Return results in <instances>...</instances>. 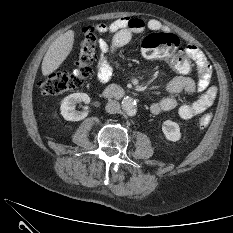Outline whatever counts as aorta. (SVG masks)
<instances>
[{
	"instance_id": "762f6f07",
	"label": "aorta",
	"mask_w": 233,
	"mask_h": 233,
	"mask_svg": "<svg viewBox=\"0 0 233 233\" xmlns=\"http://www.w3.org/2000/svg\"><path fill=\"white\" fill-rule=\"evenodd\" d=\"M122 109L128 116H135L137 113V103L132 97H124L121 102Z\"/></svg>"
}]
</instances>
